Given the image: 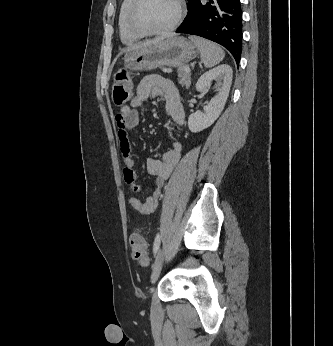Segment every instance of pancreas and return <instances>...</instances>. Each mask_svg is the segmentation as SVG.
Listing matches in <instances>:
<instances>
[{"label":"pancreas","mask_w":333,"mask_h":346,"mask_svg":"<svg viewBox=\"0 0 333 346\" xmlns=\"http://www.w3.org/2000/svg\"><path fill=\"white\" fill-rule=\"evenodd\" d=\"M186 66L179 67L178 72V81L181 85L185 86L186 88L190 87V73L185 72Z\"/></svg>","instance_id":"cf45deb5"}]
</instances>
